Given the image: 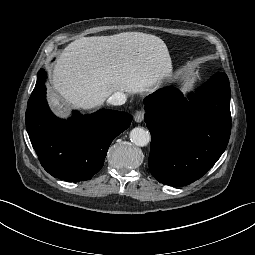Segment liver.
Returning a JSON list of instances; mask_svg holds the SVG:
<instances>
[{"mask_svg":"<svg viewBox=\"0 0 255 255\" xmlns=\"http://www.w3.org/2000/svg\"><path fill=\"white\" fill-rule=\"evenodd\" d=\"M171 75V58L162 39L124 32L71 42L56 60L52 82L67 104L92 110L115 92L152 93ZM48 101L58 116H68L57 95L50 94Z\"/></svg>","mask_w":255,"mask_h":255,"instance_id":"liver-1","label":"liver"}]
</instances>
